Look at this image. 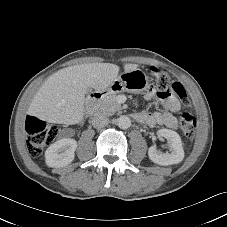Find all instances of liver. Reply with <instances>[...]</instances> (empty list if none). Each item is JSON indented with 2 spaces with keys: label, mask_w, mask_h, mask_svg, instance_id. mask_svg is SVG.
Instances as JSON below:
<instances>
[{
  "label": "liver",
  "mask_w": 227,
  "mask_h": 227,
  "mask_svg": "<svg viewBox=\"0 0 227 227\" xmlns=\"http://www.w3.org/2000/svg\"><path fill=\"white\" fill-rule=\"evenodd\" d=\"M125 64L124 71L137 69ZM119 66L89 63L63 68L51 75L31 101L29 114L49 123L73 125L84 117L85 93L88 88L106 89L118 76Z\"/></svg>",
  "instance_id": "liver-1"
}]
</instances>
